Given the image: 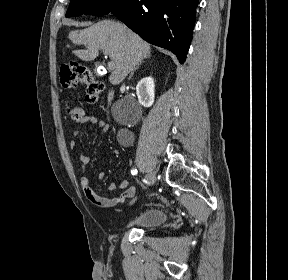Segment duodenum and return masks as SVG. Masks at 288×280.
Returning a JSON list of instances; mask_svg holds the SVG:
<instances>
[{
    "label": "duodenum",
    "instance_id": "duodenum-1",
    "mask_svg": "<svg viewBox=\"0 0 288 280\" xmlns=\"http://www.w3.org/2000/svg\"><path fill=\"white\" fill-rule=\"evenodd\" d=\"M112 98H113V92L110 91V92H109V95H108V99H109V100H112Z\"/></svg>",
    "mask_w": 288,
    "mask_h": 280
}]
</instances>
